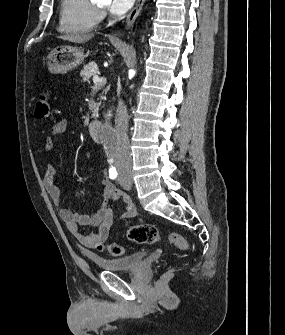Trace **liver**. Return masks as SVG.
<instances>
[{"instance_id": "1", "label": "liver", "mask_w": 285, "mask_h": 335, "mask_svg": "<svg viewBox=\"0 0 285 335\" xmlns=\"http://www.w3.org/2000/svg\"><path fill=\"white\" fill-rule=\"evenodd\" d=\"M93 36L94 34H84V36H80V34H71V36H57V38L68 40V42H74V44H84V42L91 40Z\"/></svg>"}]
</instances>
